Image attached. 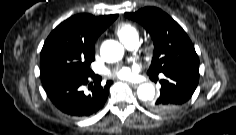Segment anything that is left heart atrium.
<instances>
[{"mask_svg": "<svg viewBox=\"0 0 236 135\" xmlns=\"http://www.w3.org/2000/svg\"><path fill=\"white\" fill-rule=\"evenodd\" d=\"M116 75L121 78H127L131 75V69L127 66H124L116 71Z\"/></svg>", "mask_w": 236, "mask_h": 135, "instance_id": "1", "label": "left heart atrium"}]
</instances>
